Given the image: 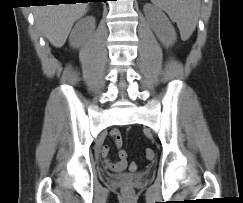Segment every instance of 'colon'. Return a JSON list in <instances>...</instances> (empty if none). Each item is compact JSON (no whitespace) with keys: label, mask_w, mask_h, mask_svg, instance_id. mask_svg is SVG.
<instances>
[{"label":"colon","mask_w":243,"mask_h":203,"mask_svg":"<svg viewBox=\"0 0 243 203\" xmlns=\"http://www.w3.org/2000/svg\"><path fill=\"white\" fill-rule=\"evenodd\" d=\"M120 155L122 156V157H126L127 156V153L124 151V150H122V151H120ZM145 157H146V159L147 160H153L154 158H155V153H154V151L153 150H151V149H147L146 151H145ZM123 191L125 192V193H130L131 191H132V189L130 188V187H124L123 188Z\"/></svg>","instance_id":"colon-1"}]
</instances>
